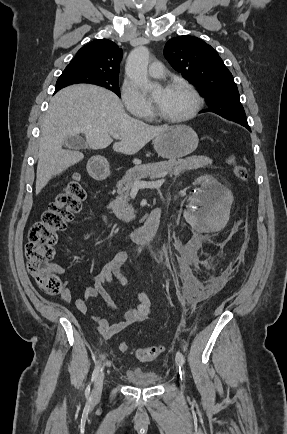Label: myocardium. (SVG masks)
<instances>
[{
    "instance_id": "1",
    "label": "myocardium",
    "mask_w": 287,
    "mask_h": 434,
    "mask_svg": "<svg viewBox=\"0 0 287 434\" xmlns=\"http://www.w3.org/2000/svg\"><path fill=\"white\" fill-rule=\"evenodd\" d=\"M173 87L183 88L191 95L193 104L190 110L186 114L179 117H168L162 114L157 108V106L155 105L154 106L155 115L158 119H160L163 122L171 123V124H181L192 119L197 115V113L200 111L202 106V98L199 92L196 90V88L186 80L175 79V80L168 81L165 85V89H169Z\"/></svg>"
}]
</instances>
